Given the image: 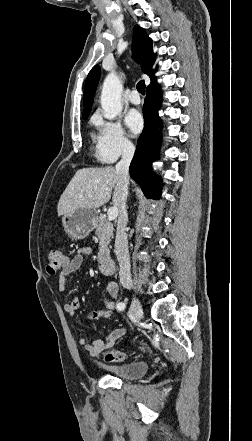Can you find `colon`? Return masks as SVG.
Returning <instances> with one entry per match:
<instances>
[{"label":"colon","instance_id":"colon-1","mask_svg":"<svg viewBox=\"0 0 252 441\" xmlns=\"http://www.w3.org/2000/svg\"><path fill=\"white\" fill-rule=\"evenodd\" d=\"M69 260L63 251L53 249L48 254L47 271L49 274H56L62 271L68 265ZM113 309L108 306L96 310L90 314V318L94 320H106L111 317ZM107 362H121L125 360L126 354L121 351H109L103 354Z\"/></svg>","mask_w":252,"mask_h":441}]
</instances>
